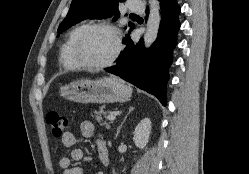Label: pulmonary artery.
<instances>
[{
    "label": "pulmonary artery",
    "instance_id": "pulmonary-artery-1",
    "mask_svg": "<svg viewBox=\"0 0 249 174\" xmlns=\"http://www.w3.org/2000/svg\"><path fill=\"white\" fill-rule=\"evenodd\" d=\"M128 8L131 12L139 14L145 11V4L140 0H129Z\"/></svg>",
    "mask_w": 249,
    "mask_h": 174
}]
</instances>
